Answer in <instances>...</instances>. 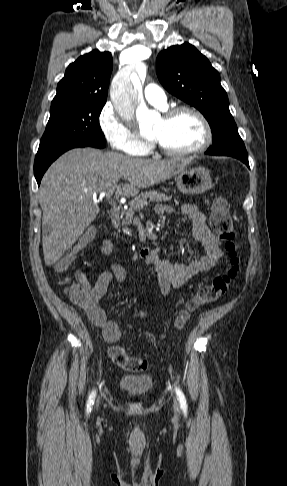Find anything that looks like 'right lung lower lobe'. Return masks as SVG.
<instances>
[{"label":"right lung lower lobe","mask_w":287,"mask_h":486,"mask_svg":"<svg viewBox=\"0 0 287 486\" xmlns=\"http://www.w3.org/2000/svg\"><path fill=\"white\" fill-rule=\"evenodd\" d=\"M75 147H87V146L76 145V146L58 149V150H55V151L39 153V154L36 155L35 162H34V175H35V178L37 180L38 185L40 184L42 176L45 173V171L47 170V168L50 166V164L55 159H57L61 154H63L67 150L75 148Z\"/></svg>","instance_id":"right-lung-lower-lobe-1"}]
</instances>
